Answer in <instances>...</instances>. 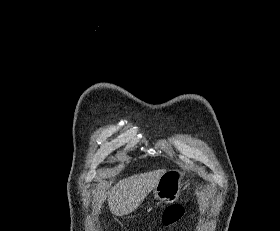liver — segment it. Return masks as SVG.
Segmentation results:
<instances>
[{
    "label": "liver",
    "mask_w": 280,
    "mask_h": 231,
    "mask_svg": "<svg viewBox=\"0 0 280 231\" xmlns=\"http://www.w3.org/2000/svg\"><path fill=\"white\" fill-rule=\"evenodd\" d=\"M165 171L166 169H154V171H148V173H139V175H131V177L120 179L110 189L108 205L111 213L127 215L131 211H135L148 193L154 189ZM101 203L102 199L98 197L95 205H101Z\"/></svg>",
    "instance_id": "1"
}]
</instances>
